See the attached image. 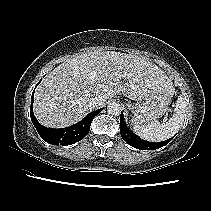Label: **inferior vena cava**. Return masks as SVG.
Returning <instances> with one entry per match:
<instances>
[{"label": "inferior vena cava", "mask_w": 211, "mask_h": 211, "mask_svg": "<svg viewBox=\"0 0 211 211\" xmlns=\"http://www.w3.org/2000/svg\"><path fill=\"white\" fill-rule=\"evenodd\" d=\"M102 102H103L102 96L101 95H96L95 97H93L90 100L89 105L94 108V107L100 106L102 104Z\"/></svg>", "instance_id": "1"}]
</instances>
